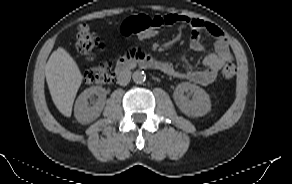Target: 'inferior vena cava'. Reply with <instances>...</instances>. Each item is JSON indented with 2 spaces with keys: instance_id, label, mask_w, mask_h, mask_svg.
<instances>
[{
  "instance_id": "inferior-vena-cava-1",
  "label": "inferior vena cava",
  "mask_w": 292,
  "mask_h": 184,
  "mask_svg": "<svg viewBox=\"0 0 292 184\" xmlns=\"http://www.w3.org/2000/svg\"><path fill=\"white\" fill-rule=\"evenodd\" d=\"M131 72L128 69L121 71L117 77V83L121 86H125L130 82Z\"/></svg>"
}]
</instances>
